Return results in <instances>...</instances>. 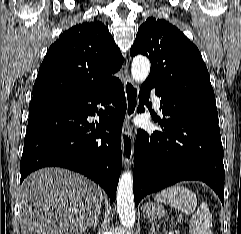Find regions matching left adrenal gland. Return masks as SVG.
Wrapping results in <instances>:
<instances>
[{
  "label": "left adrenal gland",
  "mask_w": 241,
  "mask_h": 234,
  "mask_svg": "<svg viewBox=\"0 0 241 234\" xmlns=\"http://www.w3.org/2000/svg\"><path fill=\"white\" fill-rule=\"evenodd\" d=\"M157 231H158V230H156V229H155V226L152 224L151 230H150L149 234H157Z\"/></svg>",
  "instance_id": "1"
}]
</instances>
